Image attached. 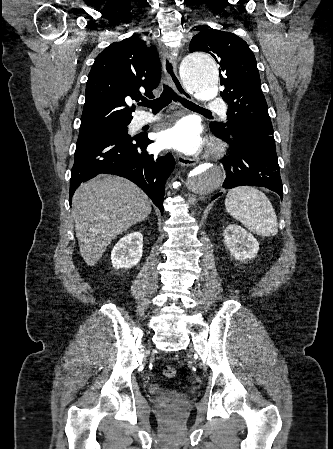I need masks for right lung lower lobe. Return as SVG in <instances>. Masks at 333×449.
I'll use <instances>...</instances> for the list:
<instances>
[{"mask_svg": "<svg viewBox=\"0 0 333 449\" xmlns=\"http://www.w3.org/2000/svg\"><path fill=\"white\" fill-rule=\"evenodd\" d=\"M147 134L78 138L71 170L70 197L82 182L100 173L115 174L137 184L163 212L164 185L175 164L173 156L146 152Z\"/></svg>", "mask_w": 333, "mask_h": 449, "instance_id": "1", "label": "right lung lower lobe"}]
</instances>
